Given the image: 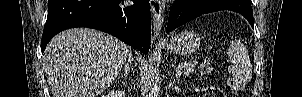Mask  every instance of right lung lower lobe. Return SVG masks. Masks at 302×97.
<instances>
[{
    "label": "right lung lower lobe",
    "mask_w": 302,
    "mask_h": 97,
    "mask_svg": "<svg viewBox=\"0 0 302 97\" xmlns=\"http://www.w3.org/2000/svg\"><path fill=\"white\" fill-rule=\"evenodd\" d=\"M74 27L107 32L148 53L151 13L148 0H48L42 53L57 33Z\"/></svg>",
    "instance_id": "1"
}]
</instances>
